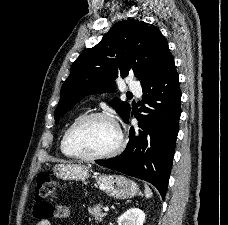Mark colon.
Masks as SVG:
<instances>
[{
    "instance_id": "5ec220e1",
    "label": "colon",
    "mask_w": 228,
    "mask_h": 225,
    "mask_svg": "<svg viewBox=\"0 0 228 225\" xmlns=\"http://www.w3.org/2000/svg\"><path fill=\"white\" fill-rule=\"evenodd\" d=\"M55 184L49 175L40 173L34 190V198L36 201H43L54 192Z\"/></svg>"
}]
</instances>
